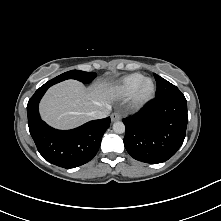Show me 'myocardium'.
Instances as JSON below:
<instances>
[{"mask_svg": "<svg viewBox=\"0 0 221 221\" xmlns=\"http://www.w3.org/2000/svg\"><path fill=\"white\" fill-rule=\"evenodd\" d=\"M149 82L151 84L150 90L144 92L143 88L145 84ZM156 92V86L152 79L144 78L135 88L134 92L131 95V103L134 107L140 108L146 105L149 101L152 100Z\"/></svg>", "mask_w": 221, "mask_h": 221, "instance_id": "f54148a6", "label": "myocardium"}]
</instances>
